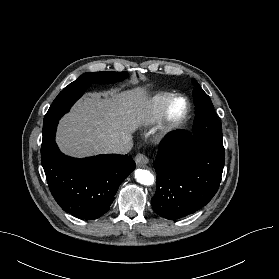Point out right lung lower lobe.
Returning a JSON list of instances; mask_svg holds the SVG:
<instances>
[{
  "label": "right lung lower lobe",
  "instance_id": "1",
  "mask_svg": "<svg viewBox=\"0 0 279 279\" xmlns=\"http://www.w3.org/2000/svg\"><path fill=\"white\" fill-rule=\"evenodd\" d=\"M41 162L56 202L82 220H94L108 212L119 185L136 167L128 155L68 157L56 143L41 156Z\"/></svg>",
  "mask_w": 279,
  "mask_h": 279
}]
</instances>
